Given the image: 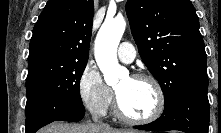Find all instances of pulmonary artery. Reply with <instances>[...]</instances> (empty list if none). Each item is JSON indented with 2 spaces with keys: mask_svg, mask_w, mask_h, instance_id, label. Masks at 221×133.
<instances>
[{
  "mask_svg": "<svg viewBox=\"0 0 221 133\" xmlns=\"http://www.w3.org/2000/svg\"><path fill=\"white\" fill-rule=\"evenodd\" d=\"M118 57L120 61L124 63H131L136 57V51L132 44L129 42H123L120 44L118 49Z\"/></svg>",
  "mask_w": 221,
  "mask_h": 133,
  "instance_id": "1",
  "label": "pulmonary artery"
}]
</instances>
